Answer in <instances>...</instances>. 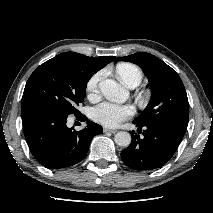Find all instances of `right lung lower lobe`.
<instances>
[{
	"instance_id": "obj_1",
	"label": "right lung lower lobe",
	"mask_w": 213,
	"mask_h": 213,
	"mask_svg": "<svg viewBox=\"0 0 213 213\" xmlns=\"http://www.w3.org/2000/svg\"><path fill=\"white\" fill-rule=\"evenodd\" d=\"M22 124L27 144L35 159L49 169H61L80 162L88 152L91 139L102 127L87 121V128L75 131L66 126L67 117L36 101L22 103ZM87 120L83 115L76 116Z\"/></svg>"
}]
</instances>
